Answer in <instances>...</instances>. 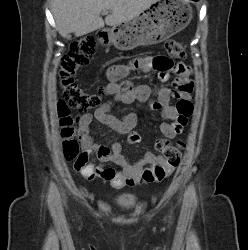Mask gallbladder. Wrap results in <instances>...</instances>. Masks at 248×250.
Instances as JSON below:
<instances>
[{
    "mask_svg": "<svg viewBox=\"0 0 248 250\" xmlns=\"http://www.w3.org/2000/svg\"><path fill=\"white\" fill-rule=\"evenodd\" d=\"M67 39H70L71 38V35L69 34V35H67V37H66Z\"/></svg>",
    "mask_w": 248,
    "mask_h": 250,
    "instance_id": "bac80fb5",
    "label": "gallbladder"
}]
</instances>
